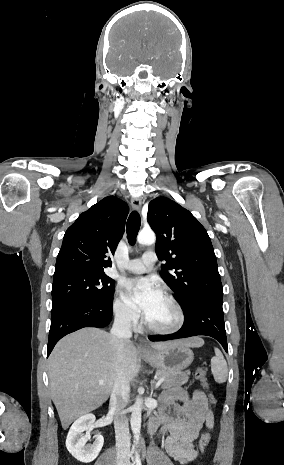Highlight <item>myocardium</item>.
<instances>
[{
	"label": "myocardium",
	"mask_w": 284,
	"mask_h": 465,
	"mask_svg": "<svg viewBox=\"0 0 284 465\" xmlns=\"http://www.w3.org/2000/svg\"><path fill=\"white\" fill-rule=\"evenodd\" d=\"M161 296L164 297L174 309L175 314H176V322L169 328H156L148 323L146 317H143L142 323L144 327L147 329V331L153 335L172 336L176 334L177 332H179L180 329L184 325V322H185L184 311L182 307L180 306V304L177 302V300L171 294L167 292H162Z\"/></svg>",
	"instance_id": "f54148a6"
}]
</instances>
